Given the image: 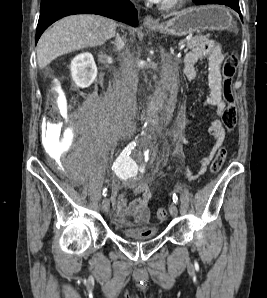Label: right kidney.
I'll use <instances>...</instances> for the list:
<instances>
[{"label":"right kidney","instance_id":"ca27d5eb","mask_svg":"<svg viewBox=\"0 0 267 298\" xmlns=\"http://www.w3.org/2000/svg\"><path fill=\"white\" fill-rule=\"evenodd\" d=\"M70 67L72 79L79 88L89 87L97 77V67L91 53L77 55Z\"/></svg>","mask_w":267,"mask_h":298}]
</instances>
